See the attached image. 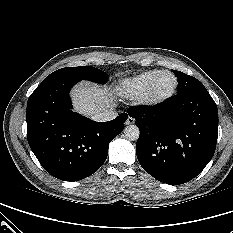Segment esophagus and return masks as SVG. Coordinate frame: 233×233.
<instances>
[{
    "label": "esophagus",
    "instance_id": "esophagus-1",
    "mask_svg": "<svg viewBox=\"0 0 233 233\" xmlns=\"http://www.w3.org/2000/svg\"><path fill=\"white\" fill-rule=\"evenodd\" d=\"M134 123H135V119L130 117V116L127 118V120L125 122L126 125H131V124H134Z\"/></svg>",
    "mask_w": 233,
    "mask_h": 233
}]
</instances>
